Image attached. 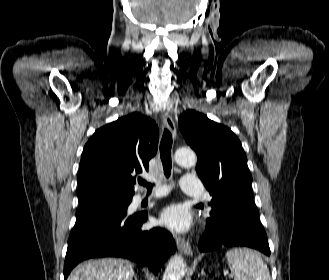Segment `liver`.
I'll return each instance as SVG.
<instances>
[{
  "instance_id": "1",
  "label": "liver",
  "mask_w": 329,
  "mask_h": 280,
  "mask_svg": "<svg viewBox=\"0 0 329 280\" xmlns=\"http://www.w3.org/2000/svg\"><path fill=\"white\" fill-rule=\"evenodd\" d=\"M133 264L124 259L90 260L79 265L67 280H132Z\"/></svg>"
}]
</instances>
